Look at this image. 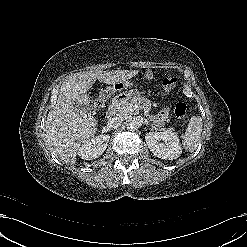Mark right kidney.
I'll return each instance as SVG.
<instances>
[{
    "label": "right kidney",
    "instance_id": "1",
    "mask_svg": "<svg viewBox=\"0 0 247 247\" xmlns=\"http://www.w3.org/2000/svg\"><path fill=\"white\" fill-rule=\"evenodd\" d=\"M110 140L108 134H101L90 138L78 148V155L84 160H93L104 153Z\"/></svg>",
    "mask_w": 247,
    "mask_h": 247
}]
</instances>
